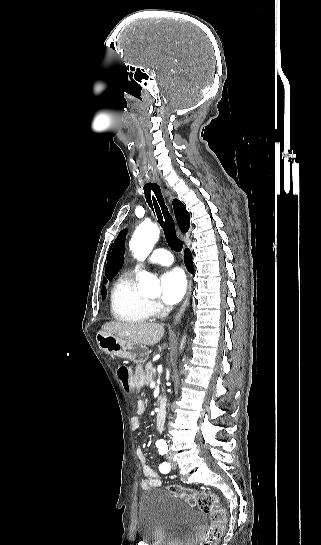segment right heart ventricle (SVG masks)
Masks as SVG:
<instances>
[{
	"label": "right heart ventricle",
	"mask_w": 321,
	"mask_h": 545,
	"mask_svg": "<svg viewBox=\"0 0 321 545\" xmlns=\"http://www.w3.org/2000/svg\"><path fill=\"white\" fill-rule=\"evenodd\" d=\"M110 312L114 320L123 324H142L155 317L149 305L137 297L132 275L127 272H121L115 280Z\"/></svg>",
	"instance_id": "e07e8e85"
}]
</instances>
